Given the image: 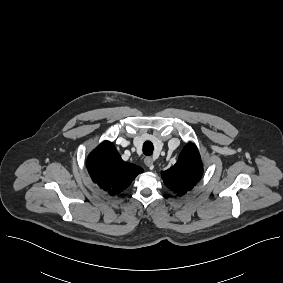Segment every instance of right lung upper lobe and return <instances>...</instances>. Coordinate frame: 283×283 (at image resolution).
I'll use <instances>...</instances> for the list:
<instances>
[{
	"mask_svg": "<svg viewBox=\"0 0 283 283\" xmlns=\"http://www.w3.org/2000/svg\"><path fill=\"white\" fill-rule=\"evenodd\" d=\"M87 168L93 181L111 195L122 192L143 172L141 167L124 162L109 141H104L89 154Z\"/></svg>",
	"mask_w": 283,
	"mask_h": 283,
	"instance_id": "obj_1",
	"label": "right lung upper lobe"
}]
</instances>
